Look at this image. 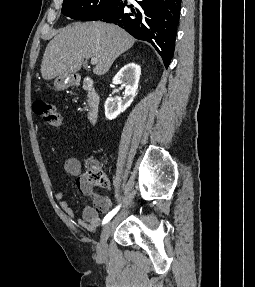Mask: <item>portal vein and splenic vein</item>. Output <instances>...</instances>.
Returning <instances> with one entry per match:
<instances>
[{
	"label": "portal vein and splenic vein",
	"mask_w": 255,
	"mask_h": 287,
	"mask_svg": "<svg viewBox=\"0 0 255 287\" xmlns=\"http://www.w3.org/2000/svg\"><path fill=\"white\" fill-rule=\"evenodd\" d=\"M98 60L97 58H91V64H97Z\"/></svg>",
	"instance_id": "obj_1"
}]
</instances>
